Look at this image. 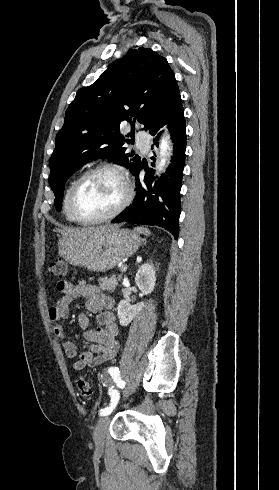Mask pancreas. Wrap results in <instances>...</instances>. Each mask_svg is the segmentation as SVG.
<instances>
[{
	"mask_svg": "<svg viewBox=\"0 0 279 490\" xmlns=\"http://www.w3.org/2000/svg\"><path fill=\"white\" fill-rule=\"evenodd\" d=\"M122 274H118V278H116L115 274H113L111 278H99L98 282H100V288H102V290H114L118 284V280L122 278Z\"/></svg>",
	"mask_w": 279,
	"mask_h": 490,
	"instance_id": "cf45deb5",
	"label": "pancreas"
}]
</instances>
